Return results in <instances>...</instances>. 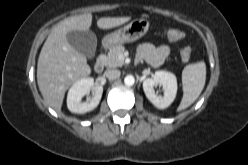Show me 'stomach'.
Wrapping results in <instances>:
<instances>
[{"label": "stomach", "mask_w": 248, "mask_h": 165, "mask_svg": "<svg viewBox=\"0 0 248 165\" xmlns=\"http://www.w3.org/2000/svg\"><path fill=\"white\" fill-rule=\"evenodd\" d=\"M149 26L150 23L147 19L136 18L127 25L106 35L103 39V44L107 47H112L134 42L147 33Z\"/></svg>", "instance_id": "0dacf381"}]
</instances>
